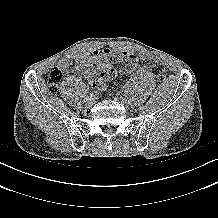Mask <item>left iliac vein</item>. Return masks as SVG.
<instances>
[{"label": "left iliac vein", "mask_w": 218, "mask_h": 218, "mask_svg": "<svg viewBox=\"0 0 218 218\" xmlns=\"http://www.w3.org/2000/svg\"><path fill=\"white\" fill-rule=\"evenodd\" d=\"M118 100L125 106H129L131 104V100L127 96L121 94L118 95Z\"/></svg>", "instance_id": "obj_1"}]
</instances>
